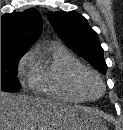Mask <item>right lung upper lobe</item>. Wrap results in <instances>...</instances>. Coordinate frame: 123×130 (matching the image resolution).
Instances as JSON below:
<instances>
[{
    "mask_svg": "<svg viewBox=\"0 0 123 130\" xmlns=\"http://www.w3.org/2000/svg\"><path fill=\"white\" fill-rule=\"evenodd\" d=\"M42 31V18L33 8L1 16V55L26 53Z\"/></svg>",
    "mask_w": 123,
    "mask_h": 130,
    "instance_id": "right-lung-upper-lobe-1",
    "label": "right lung upper lobe"
}]
</instances>
